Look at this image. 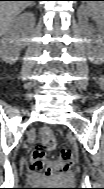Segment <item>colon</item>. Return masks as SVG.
I'll return each instance as SVG.
<instances>
[{"mask_svg":"<svg viewBox=\"0 0 104 189\" xmlns=\"http://www.w3.org/2000/svg\"><path fill=\"white\" fill-rule=\"evenodd\" d=\"M55 147L56 139L51 130L47 127L42 128L40 142L30 150V169L46 177L69 171L75 164L73 152L64 150L56 160H50L47 153Z\"/></svg>","mask_w":104,"mask_h":189,"instance_id":"colon-1","label":"colon"}]
</instances>
